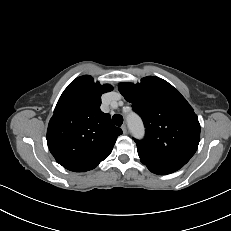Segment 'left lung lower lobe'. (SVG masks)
Here are the masks:
<instances>
[{
  "mask_svg": "<svg viewBox=\"0 0 231 231\" xmlns=\"http://www.w3.org/2000/svg\"><path fill=\"white\" fill-rule=\"evenodd\" d=\"M148 167V166H147ZM148 169L155 173V174H160V175H165V174H170L172 173L171 171H166V170H161V169H158V168H153V167H148Z\"/></svg>",
  "mask_w": 231,
  "mask_h": 231,
  "instance_id": "obj_1",
  "label": "left lung lower lobe"
}]
</instances>
